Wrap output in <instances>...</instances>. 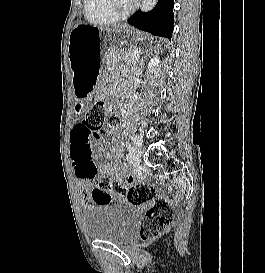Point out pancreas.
I'll return each mask as SVG.
<instances>
[{
    "label": "pancreas",
    "instance_id": "1",
    "mask_svg": "<svg viewBox=\"0 0 265 273\" xmlns=\"http://www.w3.org/2000/svg\"><path fill=\"white\" fill-rule=\"evenodd\" d=\"M134 52L132 51H127L123 54L119 53V52H114L110 57L111 60L109 62V64L111 66L117 65L119 62L124 61L126 64L130 65V66H135L137 61L135 60V58L132 56Z\"/></svg>",
    "mask_w": 265,
    "mask_h": 273
}]
</instances>
